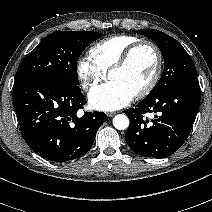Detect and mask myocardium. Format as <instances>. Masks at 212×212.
Returning a JSON list of instances; mask_svg holds the SVG:
<instances>
[{"instance_id":"obj_1","label":"myocardium","mask_w":212,"mask_h":212,"mask_svg":"<svg viewBox=\"0 0 212 212\" xmlns=\"http://www.w3.org/2000/svg\"><path fill=\"white\" fill-rule=\"evenodd\" d=\"M143 47H148L154 52L156 57V68L149 82L134 95L135 99H142L146 97L155 88L158 81L160 80L164 61H163L162 52L156 44H154L151 41H138L134 43L133 45H131L129 48H127L124 51V53L121 55L119 60L111 66L107 74L109 78L113 72L124 69L129 64L134 53Z\"/></svg>"}]
</instances>
